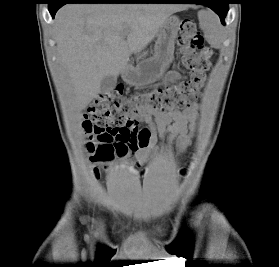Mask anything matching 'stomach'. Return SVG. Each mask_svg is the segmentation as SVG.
Wrapping results in <instances>:
<instances>
[{
	"label": "stomach",
	"instance_id": "obj_1",
	"mask_svg": "<svg viewBox=\"0 0 279 267\" xmlns=\"http://www.w3.org/2000/svg\"><path fill=\"white\" fill-rule=\"evenodd\" d=\"M181 22L177 16H169L161 26L152 58L127 65L121 72L122 79L131 86L142 87L160 80L174 59V44Z\"/></svg>",
	"mask_w": 279,
	"mask_h": 267
}]
</instances>
